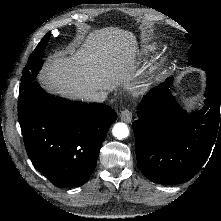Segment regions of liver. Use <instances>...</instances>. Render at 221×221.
Here are the masks:
<instances>
[{
  "mask_svg": "<svg viewBox=\"0 0 221 221\" xmlns=\"http://www.w3.org/2000/svg\"><path fill=\"white\" fill-rule=\"evenodd\" d=\"M137 41L133 33L108 27L91 32L70 55L50 57L39 80L53 93L85 99L88 92L111 91L135 70Z\"/></svg>",
  "mask_w": 221,
  "mask_h": 221,
  "instance_id": "obj_1",
  "label": "liver"
}]
</instances>
